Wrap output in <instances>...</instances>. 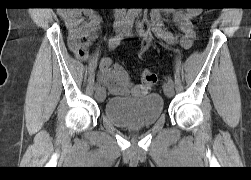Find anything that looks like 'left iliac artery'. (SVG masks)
<instances>
[{
    "label": "left iliac artery",
    "instance_id": "1",
    "mask_svg": "<svg viewBox=\"0 0 251 180\" xmlns=\"http://www.w3.org/2000/svg\"><path fill=\"white\" fill-rule=\"evenodd\" d=\"M136 27H137V31H138L139 35L141 37H143V39L145 41H147L148 43H150L151 42V31H150V28H148L147 30H145L143 23L140 22V21H138L136 23ZM167 81H168V83H170L172 85L174 84L172 78L169 77V76L167 77Z\"/></svg>",
    "mask_w": 251,
    "mask_h": 180
}]
</instances>
